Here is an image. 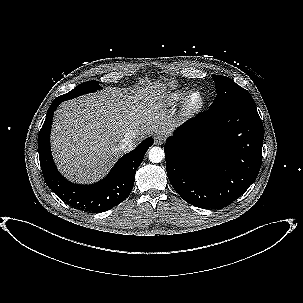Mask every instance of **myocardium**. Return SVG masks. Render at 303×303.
Returning <instances> with one entry per match:
<instances>
[{
	"label": "myocardium",
	"instance_id": "1",
	"mask_svg": "<svg viewBox=\"0 0 303 303\" xmlns=\"http://www.w3.org/2000/svg\"><path fill=\"white\" fill-rule=\"evenodd\" d=\"M204 106V96L201 91L193 90L188 93L184 100L183 112L186 115H193L199 112Z\"/></svg>",
	"mask_w": 303,
	"mask_h": 303
}]
</instances>
